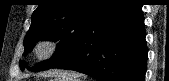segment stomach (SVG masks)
I'll return each instance as SVG.
<instances>
[{
    "label": "stomach",
    "mask_w": 169,
    "mask_h": 81,
    "mask_svg": "<svg viewBox=\"0 0 169 81\" xmlns=\"http://www.w3.org/2000/svg\"><path fill=\"white\" fill-rule=\"evenodd\" d=\"M62 79V80H61ZM56 81H67V80H65V78H56Z\"/></svg>",
    "instance_id": "0dacf381"
}]
</instances>
